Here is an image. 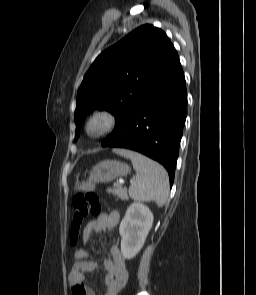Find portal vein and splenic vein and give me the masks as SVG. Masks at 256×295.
<instances>
[{"instance_id": "18ae733b", "label": "portal vein and splenic vein", "mask_w": 256, "mask_h": 295, "mask_svg": "<svg viewBox=\"0 0 256 295\" xmlns=\"http://www.w3.org/2000/svg\"><path fill=\"white\" fill-rule=\"evenodd\" d=\"M117 185H121V183H117Z\"/></svg>"}]
</instances>
